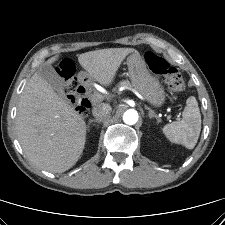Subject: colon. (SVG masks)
<instances>
[{
	"instance_id": "1",
	"label": "colon",
	"mask_w": 225,
	"mask_h": 225,
	"mask_svg": "<svg viewBox=\"0 0 225 225\" xmlns=\"http://www.w3.org/2000/svg\"><path fill=\"white\" fill-rule=\"evenodd\" d=\"M145 61L151 71L165 78L170 91L182 92L185 89V82L179 70L163 57L149 51L145 54ZM59 71L64 81L67 98L76 107L80 115L86 116L91 108V103L82 95L81 87L75 77L74 63L68 59L61 61Z\"/></svg>"
}]
</instances>
